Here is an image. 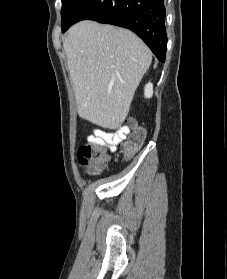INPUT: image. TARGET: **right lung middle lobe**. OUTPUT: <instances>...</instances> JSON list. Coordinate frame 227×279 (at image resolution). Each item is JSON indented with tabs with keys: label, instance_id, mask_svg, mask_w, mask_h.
Returning <instances> with one entry per match:
<instances>
[{
	"label": "right lung middle lobe",
	"instance_id": "1",
	"mask_svg": "<svg viewBox=\"0 0 227 279\" xmlns=\"http://www.w3.org/2000/svg\"><path fill=\"white\" fill-rule=\"evenodd\" d=\"M61 23L62 31L65 32L71 25L79 6L84 0H61Z\"/></svg>",
	"mask_w": 227,
	"mask_h": 279
}]
</instances>
